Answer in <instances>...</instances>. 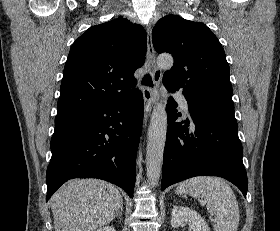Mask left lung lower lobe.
<instances>
[{
    "mask_svg": "<svg viewBox=\"0 0 280 231\" xmlns=\"http://www.w3.org/2000/svg\"><path fill=\"white\" fill-rule=\"evenodd\" d=\"M168 102L161 190L195 176H218L235 184L246 197L247 175L234 111L188 101L196 126L188 132L190 121L186 119L184 126L175 122L177 103L173 98Z\"/></svg>",
    "mask_w": 280,
    "mask_h": 231,
    "instance_id": "obj_1",
    "label": "left lung lower lobe"
}]
</instances>
